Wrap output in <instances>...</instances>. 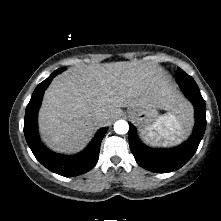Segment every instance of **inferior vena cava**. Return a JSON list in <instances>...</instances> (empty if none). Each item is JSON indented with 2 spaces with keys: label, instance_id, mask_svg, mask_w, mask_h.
<instances>
[{
  "label": "inferior vena cava",
  "instance_id": "602c4592",
  "mask_svg": "<svg viewBox=\"0 0 221 221\" xmlns=\"http://www.w3.org/2000/svg\"><path fill=\"white\" fill-rule=\"evenodd\" d=\"M94 118H95V121H96V122H102V121H104V119L106 118V116H105V114H103V113H96L95 116H94Z\"/></svg>",
  "mask_w": 221,
  "mask_h": 221
}]
</instances>
